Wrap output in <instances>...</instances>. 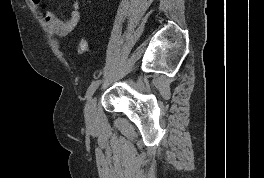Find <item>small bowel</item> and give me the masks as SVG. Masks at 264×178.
<instances>
[{"mask_svg":"<svg viewBox=\"0 0 264 178\" xmlns=\"http://www.w3.org/2000/svg\"><path fill=\"white\" fill-rule=\"evenodd\" d=\"M32 0V2L42 10L43 18L48 28L60 37L71 35L78 25L81 17L79 0H73L70 17L66 20L59 18L53 12L45 9L42 0Z\"/></svg>","mask_w":264,"mask_h":178,"instance_id":"1","label":"small bowel"}]
</instances>
